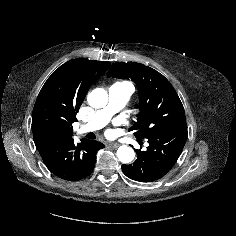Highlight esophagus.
Returning a JSON list of instances; mask_svg holds the SVG:
<instances>
[{"mask_svg": "<svg viewBox=\"0 0 236 236\" xmlns=\"http://www.w3.org/2000/svg\"><path fill=\"white\" fill-rule=\"evenodd\" d=\"M108 146H111V147H113V148H117V147H119V144H118V143L111 142V143L108 144Z\"/></svg>", "mask_w": 236, "mask_h": 236, "instance_id": "esophagus-1", "label": "esophagus"}]
</instances>
